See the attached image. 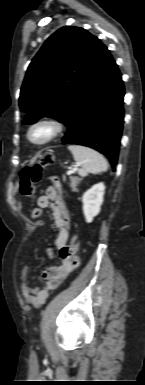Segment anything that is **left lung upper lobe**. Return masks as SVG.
<instances>
[{"mask_svg": "<svg viewBox=\"0 0 145 385\" xmlns=\"http://www.w3.org/2000/svg\"><path fill=\"white\" fill-rule=\"evenodd\" d=\"M99 39L87 30L65 26L51 35L30 63L21 88L23 124L41 117L66 123Z\"/></svg>", "mask_w": 145, "mask_h": 385, "instance_id": "1", "label": "left lung upper lobe"}]
</instances>
